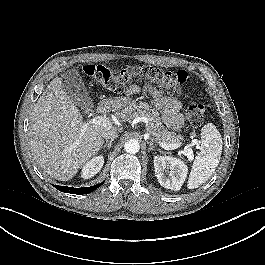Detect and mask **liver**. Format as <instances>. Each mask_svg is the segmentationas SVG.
<instances>
[{"label":"liver","instance_id":"obj_1","mask_svg":"<svg viewBox=\"0 0 265 265\" xmlns=\"http://www.w3.org/2000/svg\"><path fill=\"white\" fill-rule=\"evenodd\" d=\"M114 107L121 110L124 101L115 100ZM83 124L80 111L65 92L61 78H54L35 104L28 133L34 159L52 178L72 179L97 155L104 143L103 133L121 130L110 121L108 126L88 125L81 132Z\"/></svg>","mask_w":265,"mask_h":265}]
</instances>
